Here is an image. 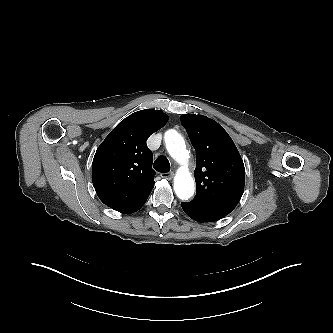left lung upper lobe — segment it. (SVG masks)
I'll return each instance as SVG.
<instances>
[{"label": "left lung upper lobe", "instance_id": "obj_1", "mask_svg": "<svg viewBox=\"0 0 333 333\" xmlns=\"http://www.w3.org/2000/svg\"><path fill=\"white\" fill-rule=\"evenodd\" d=\"M180 120L196 150V196L191 202L226 216L243 195V160L216 121L195 114H184Z\"/></svg>", "mask_w": 333, "mask_h": 333}]
</instances>
